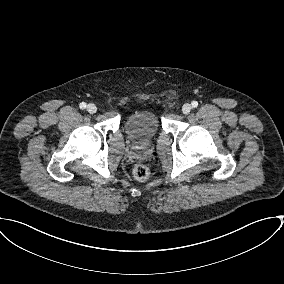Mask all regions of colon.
Here are the masks:
<instances>
[{"instance_id": "5ec220e1", "label": "colon", "mask_w": 284, "mask_h": 284, "mask_svg": "<svg viewBox=\"0 0 284 284\" xmlns=\"http://www.w3.org/2000/svg\"><path fill=\"white\" fill-rule=\"evenodd\" d=\"M150 171L147 166L138 164L133 168V175L138 180H145L149 177Z\"/></svg>"}]
</instances>
